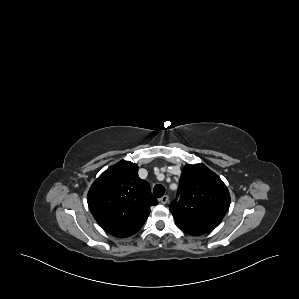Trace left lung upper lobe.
<instances>
[{"label": "left lung upper lobe", "instance_id": "5c2ea615", "mask_svg": "<svg viewBox=\"0 0 299 299\" xmlns=\"http://www.w3.org/2000/svg\"><path fill=\"white\" fill-rule=\"evenodd\" d=\"M179 194L169 208L177 227L193 236L216 228L230 205L226 185L204 164L184 167L177 197Z\"/></svg>", "mask_w": 299, "mask_h": 299}]
</instances>
